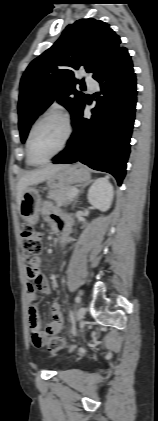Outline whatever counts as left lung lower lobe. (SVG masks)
I'll return each instance as SVG.
<instances>
[{"instance_id":"left-lung-lower-lobe-1","label":"left lung lower lobe","mask_w":158,"mask_h":421,"mask_svg":"<svg viewBox=\"0 0 158 421\" xmlns=\"http://www.w3.org/2000/svg\"><path fill=\"white\" fill-rule=\"evenodd\" d=\"M99 91L91 118L83 109L72 121L74 132L66 149L53 163H81L112 174L120 186L126 174L130 138L135 119L136 78L128 51L120 47L112 60L94 77ZM86 103V102H85Z\"/></svg>"}]
</instances>
